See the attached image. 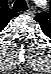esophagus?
Instances as JSON below:
<instances>
[{
    "label": "esophagus",
    "instance_id": "obj_1",
    "mask_svg": "<svg viewBox=\"0 0 51 74\" xmlns=\"http://www.w3.org/2000/svg\"><path fill=\"white\" fill-rule=\"evenodd\" d=\"M27 14L31 15V14H33V13H32V11L29 9V10L27 11Z\"/></svg>",
    "mask_w": 51,
    "mask_h": 74
}]
</instances>
